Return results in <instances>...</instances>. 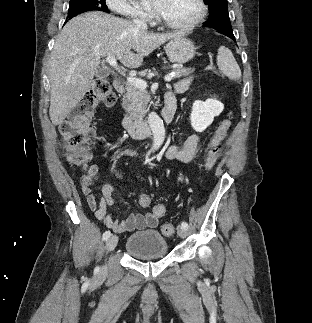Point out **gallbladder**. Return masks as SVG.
Here are the masks:
<instances>
[{
	"mask_svg": "<svg viewBox=\"0 0 312 323\" xmlns=\"http://www.w3.org/2000/svg\"><path fill=\"white\" fill-rule=\"evenodd\" d=\"M109 74V70H106V68H100V66L95 72L96 78H108Z\"/></svg>",
	"mask_w": 312,
	"mask_h": 323,
	"instance_id": "gallbladder-1",
	"label": "gallbladder"
}]
</instances>
